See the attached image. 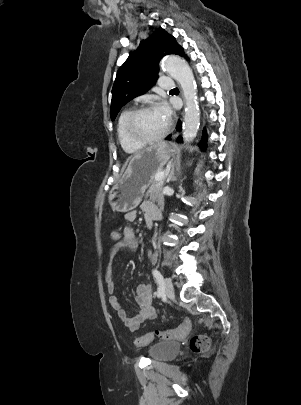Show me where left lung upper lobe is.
Wrapping results in <instances>:
<instances>
[{
	"instance_id": "5c2ea615",
	"label": "left lung upper lobe",
	"mask_w": 301,
	"mask_h": 405,
	"mask_svg": "<svg viewBox=\"0 0 301 405\" xmlns=\"http://www.w3.org/2000/svg\"><path fill=\"white\" fill-rule=\"evenodd\" d=\"M169 54L187 59L183 48L163 29L155 31L140 43L117 72L112 88L111 120L115 119L125 103L151 88L158 77L159 61Z\"/></svg>"
}]
</instances>
